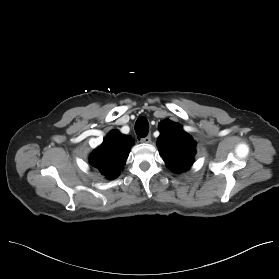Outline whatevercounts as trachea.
Returning <instances> with one entry per match:
<instances>
[{"mask_svg":"<svg viewBox=\"0 0 279 279\" xmlns=\"http://www.w3.org/2000/svg\"><path fill=\"white\" fill-rule=\"evenodd\" d=\"M135 131L139 137H146L149 132V123L146 118L140 117L135 123Z\"/></svg>","mask_w":279,"mask_h":279,"instance_id":"obj_1","label":"trachea"}]
</instances>
